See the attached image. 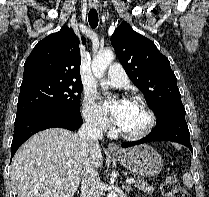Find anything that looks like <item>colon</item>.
Listing matches in <instances>:
<instances>
[{"label":"colon","instance_id":"obj_1","mask_svg":"<svg viewBox=\"0 0 209 197\" xmlns=\"http://www.w3.org/2000/svg\"><path fill=\"white\" fill-rule=\"evenodd\" d=\"M161 190L166 197H190L180 186L179 181L171 176H167L163 179Z\"/></svg>","mask_w":209,"mask_h":197}]
</instances>
